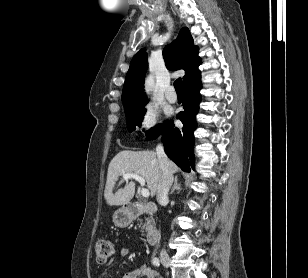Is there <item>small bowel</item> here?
I'll return each instance as SVG.
<instances>
[{"mask_svg":"<svg viewBox=\"0 0 308 278\" xmlns=\"http://www.w3.org/2000/svg\"><path fill=\"white\" fill-rule=\"evenodd\" d=\"M130 255V251L128 248H120L117 250L115 256L111 259V261L116 258H124ZM123 278H161L159 273L153 268L143 264L137 268L131 269L125 273Z\"/></svg>","mask_w":308,"mask_h":278,"instance_id":"obj_1","label":"small bowel"}]
</instances>
